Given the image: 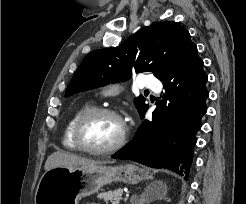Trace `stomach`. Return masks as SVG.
Masks as SVG:
<instances>
[{
	"mask_svg": "<svg viewBox=\"0 0 246 204\" xmlns=\"http://www.w3.org/2000/svg\"><path fill=\"white\" fill-rule=\"evenodd\" d=\"M151 178L148 169L134 164L55 167L40 178L34 201L35 204H78L81 198L97 193L112 182L137 184Z\"/></svg>",
	"mask_w": 246,
	"mask_h": 204,
	"instance_id": "stomach-1",
	"label": "stomach"
}]
</instances>
